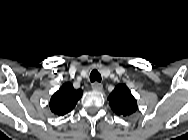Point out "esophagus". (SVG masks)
<instances>
[{
    "mask_svg": "<svg viewBox=\"0 0 188 140\" xmlns=\"http://www.w3.org/2000/svg\"><path fill=\"white\" fill-rule=\"evenodd\" d=\"M92 89L94 91H101L103 89V85L101 83H99V82H94L92 84Z\"/></svg>",
    "mask_w": 188,
    "mask_h": 140,
    "instance_id": "1",
    "label": "esophagus"
}]
</instances>
